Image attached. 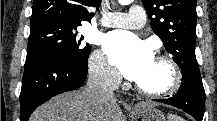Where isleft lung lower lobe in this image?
Returning a JSON list of instances; mask_svg holds the SVG:
<instances>
[{
    "label": "left lung lower lobe",
    "instance_id": "1",
    "mask_svg": "<svg viewBox=\"0 0 217 121\" xmlns=\"http://www.w3.org/2000/svg\"><path fill=\"white\" fill-rule=\"evenodd\" d=\"M155 101L178 107L192 115L196 121H202L205 104L202 80L183 75L181 87L176 95L169 99Z\"/></svg>",
    "mask_w": 217,
    "mask_h": 121
}]
</instances>
